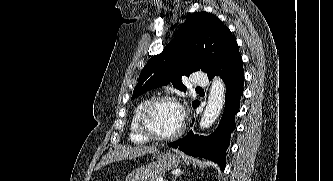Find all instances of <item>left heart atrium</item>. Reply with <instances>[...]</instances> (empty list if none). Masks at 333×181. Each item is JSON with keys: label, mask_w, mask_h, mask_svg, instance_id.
<instances>
[{"label": "left heart atrium", "mask_w": 333, "mask_h": 181, "mask_svg": "<svg viewBox=\"0 0 333 181\" xmlns=\"http://www.w3.org/2000/svg\"><path fill=\"white\" fill-rule=\"evenodd\" d=\"M183 120H184V112H183V110L181 109V121L183 122Z\"/></svg>", "instance_id": "obj_1"}]
</instances>
